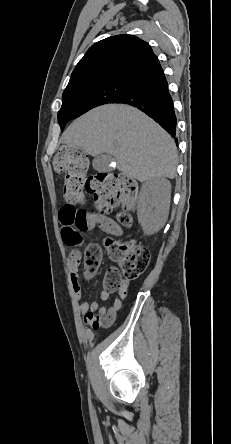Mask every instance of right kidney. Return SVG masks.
Listing matches in <instances>:
<instances>
[{"label": "right kidney", "instance_id": "1", "mask_svg": "<svg viewBox=\"0 0 231 444\" xmlns=\"http://www.w3.org/2000/svg\"><path fill=\"white\" fill-rule=\"evenodd\" d=\"M170 194L171 184L165 178H155L142 185L137 216L144 233H156L164 226L169 213Z\"/></svg>", "mask_w": 231, "mask_h": 444}]
</instances>
